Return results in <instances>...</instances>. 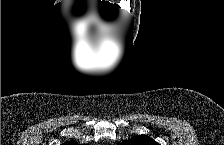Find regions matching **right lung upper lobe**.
I'll return each instance as SVG.
<instances>
[{
	"label": "right lung upper lobe",
	"mask_w": 224,
	"mask_h": 145,
	"mask_svg": "<svg viewBox=\"0 0 224 145\" xmlns=\"http://www.w3.org/2000/svg\"><path fill=\"white\" fill-rule=\"evenodd\" d=\"M64 145H76V144H74L72 142H68V143H65Z\"/></svg>",
	"instance_id": "right-lung-upper-lobe-1"
}]
</instances>
